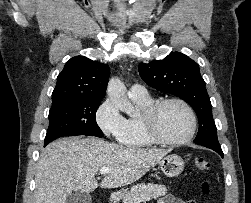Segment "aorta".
Returning a JSON list of instances; mask_svg holds the SVG:
<instances>
[{
    "label": "aorta",
    "instance_id": "762f6f07",
    "mask_svg": "<svg viewBox=\"0 0 251 203\" xmlns=\"http://www.w3.org/2000/svg\"><path fill=\"white\" fill-rule=\"evenodd\" d=\"M107 95L110 101L122 112L134 116L136 110L126 95V88L118 78H111L107 86Z\"/></svg>",
    "mask_w": 251,
    "mask_h": 203
}]
</instances>
